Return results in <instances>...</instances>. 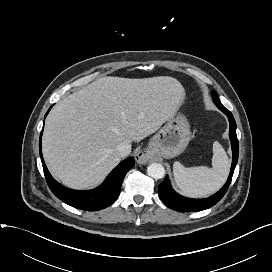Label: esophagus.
<instances>
[{
    "label": "esophagus",
    "instance_id": "esophagus-1",
    "mask_svg": "<svg viewBox=\"0 0 272 272\" xmlns=\"http://www.w3.org/2000/svg\"><path fill=\"white\" fill-rule=\"evenodd\" d=\"M135 157H136V161H137L139 164H144V163L147 162V158H146L145 154L142 153V152L136 153Z\"/></svg>",
    "mask_w": 272,
    "mask_h": 272
}]
</instances>
